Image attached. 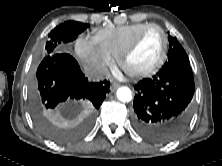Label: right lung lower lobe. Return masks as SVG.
Returning <instances> with one entry per match:
<instances>
[{
	"label": "right lung lower lobe",
	"mask_w": 222,
	"mask_h": 166,
	"mask_svg": "<svg viewBox=\"0 0 222 166\" xmlns=\"http://www.w3.org/2000/svg\"><path fill=\"white\" fill-rule=\"evenodd\" d=\"M36 78V87L31 95L32 111H42L45 115L58 118L65 115V109L71 103L86 101L88 104L80 128L63 134L68 141L88 127L93 113L99 109L110 88L107 80L89 82L77 61L68 53L47 55L37 68Z\"/></svg>",
	"instance_id": "obj_1"
}]
</instances>
